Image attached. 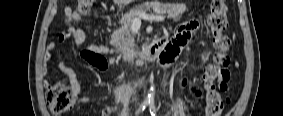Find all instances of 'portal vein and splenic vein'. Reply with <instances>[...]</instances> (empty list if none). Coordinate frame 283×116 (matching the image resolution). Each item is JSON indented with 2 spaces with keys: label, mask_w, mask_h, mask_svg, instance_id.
<instances>
[{
  "label": "portal vein and splenic vein",
  "mask_w": 283,
  "mask_h": 116,
  "mask_svg": "<svg viewBox=\"0 0 283 116\" xmlns=\"http://www.w3.org/2000/svg\"><path fill=\"white\" fill-rule=\"evenodd\" d=\"M135 19L136 20L144 19L150 22L152 21L163 22L165 18L163 16H155V15H148L146 13H140Z\"/></svg>",
  "instance_id": "1"
}]
</instances>
